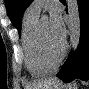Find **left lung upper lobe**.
Masks as SVG:
<instances>
[{"label": "left lung upper lobe", "mask_w": 89, "mask_h": 89, "mask_svg": "<svg viewBox=\"0 0 89 89\" xmlns=\"http://www.w3.org/2000/svg\"><path fill=\"white\" fill-rule=\"evenodd\" d=\"M32 1L33 0H5L7 14L19 33L21 30V20L23 13L32 3Z\"/></svg>", "instance_id": "left-lung-upper-lobe-1"}]
</instances>
